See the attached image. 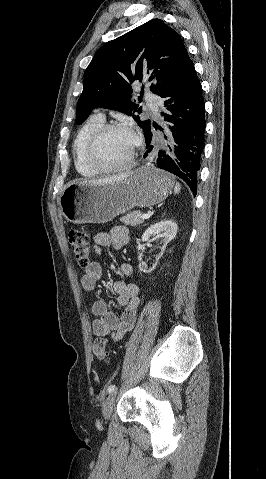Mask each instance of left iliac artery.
I'll return each mask as SVG.
<instances>
[{"label":"left iliac artery","mask_w":266,"mask_h":479,"mask_svg":"<svg viewBox=\"0 0 266 479\" xmlns=\"http://www.w3.org/2000/svg\"><path fill=\"white\" fill-rule=\"evenodd\" d=\"M116 390V386L115 385H110L107 389L108 393H112Z\"/></svg>","instance_id":"44dca946"}]
</instances>
